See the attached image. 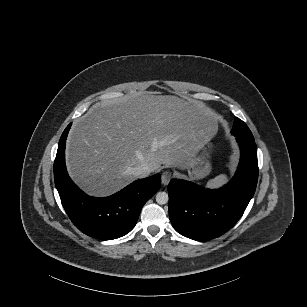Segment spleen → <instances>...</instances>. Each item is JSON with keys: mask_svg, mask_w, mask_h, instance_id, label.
Segmentation results:
<instances>
[{"mask_svg": "<svg viewBox=\"0 0 307 307\" xmlns=\"http://www.w3.org/2000/svg\"><path fill=\"white\" fill-rule=\"evenodd\" d=\"M226 181H227L226 175L221 174L215 177L214 179L209 180L207 183V187L216 188L226 183Z\"/></svg>", "mask_w": 307, "mask_h": 307, "instance_id": "3e777b00", "label": "spleen"}]
</instances>
